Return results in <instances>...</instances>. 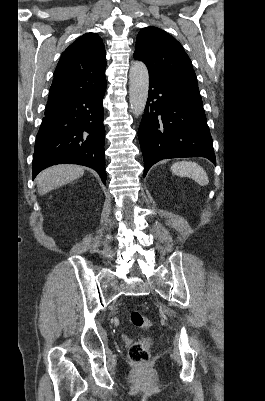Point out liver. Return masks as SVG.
I'll return each mask as SVG.
<instances>
[{
    "label": "liver",
    "mask_w": 265,
    "mask_h": 401,
    "mask_svg": "<svg viewBox=\"0 0 265 401\" xmlns=\"http://www.w3.org/2000/svg\"><path fill=\"white\" fill-rule=\"evenodd\" d=\"M84 174V166L78 164H57L42 170L37 176V186L39 194H47L53 188H59L63 184L72 182L75 178H80Z\"/></svg>",
    "instance_id": "1"
}]
</instances>
